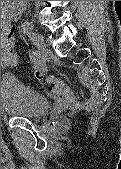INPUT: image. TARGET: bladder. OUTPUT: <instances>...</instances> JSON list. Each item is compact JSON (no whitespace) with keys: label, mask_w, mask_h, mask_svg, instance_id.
Segmentation results:
<instances>
[{"label":"bladder","mask_w":121,"mask_h":169,"mask_svg":"<svg viewBox=\"0 0 121 169\" xmlns=\"http://www.w3.org/2000/svg\"><path fill=\"white\" fill-rule=\"evenodd\" d=\"M1 107L8 116L37 119L48 112L51 102L15 77L5 75L1 80Z\"/></svg>","instance_id":"bladder-1"}]
</instances>
